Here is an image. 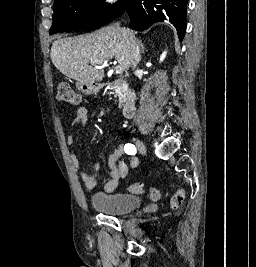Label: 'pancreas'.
<instances>
[{
  "label": "pancreas",
  "instance_id": "1",
  "mask_svg": "<svg viewBox=\"0 0 256 267\" xmlns=\"http://www.w3.org/2000/svg\"><path fill=\"white\" fill-rule=\"evenodd\" d=\"M116 102H120V106H122V102H124L123 96H121V98H119V100H116Z\"/></svg>",
  "mask_w": 256,
  "mask_h": 267
}]
</instances>
